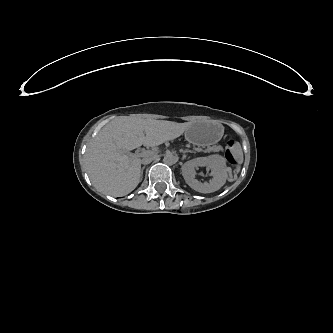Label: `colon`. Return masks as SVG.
I'll return each mask as SVG.
<instances>
[{
	"mask_svg": "<svg viewBox=\"0 0 333 333\" xmlns=\"http://www.w3.org/2000/svg\"><path fill=\"white\" fill-rule=\"evenodd\" d=\"M234 141L230 140L228 141L226 145V158L231 164H235L237 162L236 155L233 151Z\"/></svg>",
	"mask_w": 333,
	"mask_h": 333,
	"instance_id": "5ec220e1",
	"label": "colon"
}]
</instances>
